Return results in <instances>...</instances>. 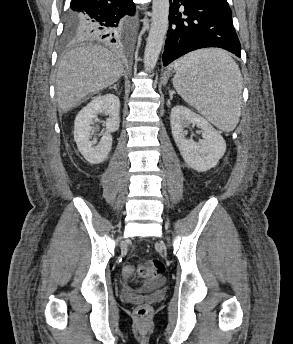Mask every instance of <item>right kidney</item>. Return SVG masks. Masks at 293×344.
Returning a JSON list of instances; mask_svg holds the SVG:
<instances>
[{"mask_svg":"<svg viewBox=\"0 0 293 344\" xmlns=\"http://www.w3.org/2000/svg\"><path fill=\"white\" fill-rule=\"evenodd\" d=\"M120 101L114 94H105L93 98L78 113L74 123V140L78 150L91 164L102 163L109 155L112 148L111 133L119 128L120 124ZM109 116L104 122L106 131L101 140L91 141V124L98 114Z\"/></svg>","mask_w":293,"mask_h":344,"instance_id":"1","label":"right kidney"}]
</instances>
